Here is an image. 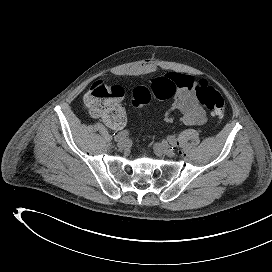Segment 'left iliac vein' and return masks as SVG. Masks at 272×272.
<instances>
[{"label": "left iliac vein", "instance_id": "4c4485c4", "mask_svg": "<svg viewBox=\"0 0 272 272\" xmlns=\"http://www.w3.org/2000/svg\"><path fill=\"white\" fill-rule=\"evenodd\" d=\"M154 148L155 151L160 155H166L168 157L175 156V152L172 150L171 146L166 142L156 143L154 145Z\"/></svg>", "mask_w": 272, "mask_h": 272}]
</instances>
